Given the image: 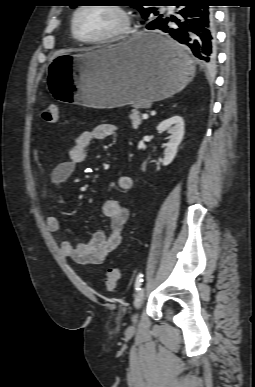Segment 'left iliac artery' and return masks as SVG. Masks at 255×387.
Returning a JSON list of instances; mask_svg holds the SVG:
<instances>
[{"label": "left iliac artery", "mask_w": 255, "mask_h": 387, "mask_svg": "<svg viewBox=\"0 0 255 387\" xmlns=\"http://www.w3.org/2000/svg\"><path fill=\"white\" fill-rule=\"evenodd\" d=\"M142 282H143V275L140 273L137 278H136V281H135V290L136 291H139L140 290V287L142 285Z\"/></svg>", "instance_id": "left-iliac-artery-1"}]
</instances>
